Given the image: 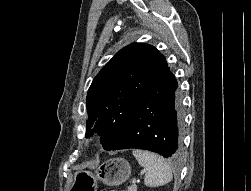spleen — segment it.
<instances>
[{"label": "spleen", "instance_id": "1", "mask_svg": "<svg viewBox=\"0 0 251 191\" xmlns=\"http://www.w3.org/2000/svg\"><path fill=\"white\" fill-rule=\"evenodd\" d=\"M132 153L138 163L146 169L145 185L158 187V185H165L171 181L173 177L171 167L161 155H157L153 151H145V149H133Z\"/></svg>", "mask_w": 251, "mask_h": 191}]
</instances>
